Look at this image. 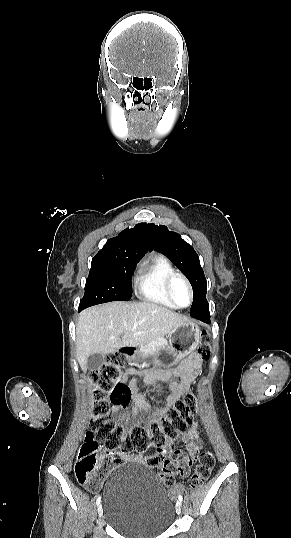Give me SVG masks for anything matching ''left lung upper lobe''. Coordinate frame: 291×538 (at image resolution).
Listing matches in <instances>:
<instances>
[{"mask_svg": "<svg viewBox=\"0 0 291 538\" xmlns=\"http://www.w3.org/2000/svg\"><path fill=\"white\" fill-rule=\"evenodd\" d=\"M151 248L164 253L188 278L193 288L194 300L190 315L202 307L209 308L206 300L207 282L194 248L186 243L178 233L166 226L148 224Z\"/></svg>", "mask_w": 291, "mask_h": 538, "instance_id": "5c2ea615", "label": "left lung upper lobe"}]
</instances>
